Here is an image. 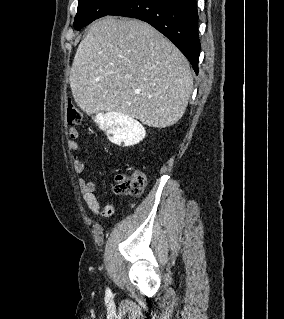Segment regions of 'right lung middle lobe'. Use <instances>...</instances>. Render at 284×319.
<instances>
[{
  "label": "right lung middle lobe",
  "mask_w": 284,
  "mask_h": 319,
  "mask_svg": "<svg viewBox=\"0 0 284 319\" xmlns=\"http://www.w3.org/2000/svg\"><path fill=\"white\" fill-rule=\"evenodd\" d=\"M130 0H79L74 28L80 30L92 21L109 15Z\"/></svg>",
  "instance_id": "right-lung-middle-lobe-1"
}]
</instances>
